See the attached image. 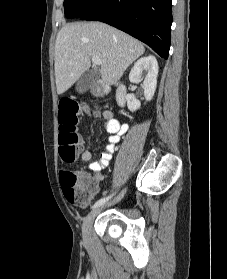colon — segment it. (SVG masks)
Here are the masks:
<instances>
[{"label": "colon", "instance_id": "1", "mask_svg": "<svg viewBox=\"0 0 227 279\" xmlns=\"http://www.w3.org/2000/svg\"><path fill=\"white\" fill-rule=\"evenodd\" d=\"M93 107L80 106L75 101L64 100L59 104V155L63 162L72 163L80 150V139L76 132L78 116L89 113ZM61 183L65 193L73 197L76 204L88 202L96 192V181L85 179L78 172L64 171L61 174Z\"/></svg>", "mask_w": 227, "mask_h": 279}]
</instances>
